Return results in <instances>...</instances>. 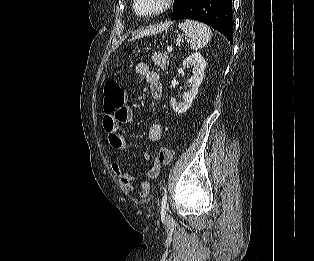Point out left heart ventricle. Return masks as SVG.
Here are the masks:
<instances>
[{
    "mask_svg": "<svg viewBox=\"0 0 314 261\" xmlns=\"http://www.w3.org/2000/svg\"><path fill=\"white\" fill-rule=\"evenodd\" d=\"M163 0H137V8L142 13H149L158 9Z\"/></svg>",
    "mask_w": 314,
    "mask_h": 261,
    "instance_id": "obj_1",
    "label": "left heart ventricle"
}]
</instances>
